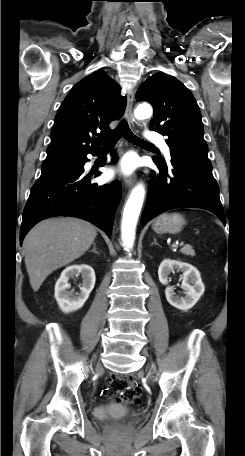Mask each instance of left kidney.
<instances>
[{
    "label": "left kidney",
    "instance_id": "left-kidney-1",
    "mask_svg": "<svg viewBox=\"0 0 245 456\" xmlns=\"http://www.w3.org/2000/svg\"><path fill=\"white\" fill-rule=\"evenodd\" d=\"M174 270L183 272L182 289L184 290V298H179L174 292V288L168 286L165 289L166 299L170 305L177 309L187 311L191 309L205 291L199 271L189 263L179 262L175 260L165 259L161 262L158 269L159 281L163 285L168 284V277Z\"/></svg>",
    "mask_w": 245,
    "mask_h": 456
}]
</instances>
